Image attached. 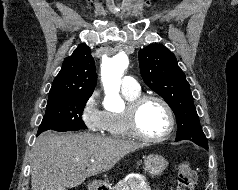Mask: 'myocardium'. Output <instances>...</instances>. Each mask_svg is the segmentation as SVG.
I'll return each instance as SVG.
<instances>
[{
    "instance_id": "f54148a6",
    "label": "myocardium",
    "mask_w": 238,
    "mask_h": 190,
    "mask_svg": "<svg viewBox=\"0 0 238 190\" xmlns=\"http://www.w3.org/2000/svg\"><path fill=\"white\" fill-rule=\"evenodd\" d=\"M150 101H155L163 106L165 109L168 118H169V127L165 133L160 136H149L145 134L139 127L138 124V115L141 108ZM126 121L130 133L145 142H161L170 137L175 129V116L171 106L161 97L156 95H140L131 102L128 103L126 107Z\"/></svg>"
}]
</instances>
